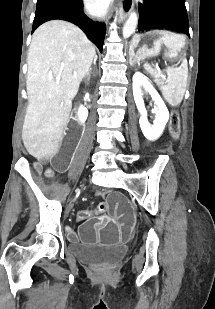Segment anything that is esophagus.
Masks as SVG:
<instances>
[{
    "label": "esophagus",
    "mask_w": 215,
    "mask_h": 309,
    "mask_svg": "<svg viewBox=\"0 0 215 309\" xmlns=\"http://www.w3.org/2000/svg\"><path fill=\"white\" fill-rule=\"evenodd\" d=\"M134 8V0H121L119 8V19L125 20Z\"/></svg>",
    "instance_id": "esophagus-1"
}]
</instances>
